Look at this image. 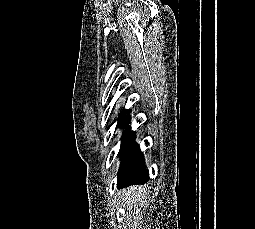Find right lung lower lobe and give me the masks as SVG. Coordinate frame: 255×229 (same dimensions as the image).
<instances>
[{"label": "right lung lower lobe", "mask_w": 255, "mask_h": 229, "mask_svg": "<svg viewBox=\"0 0 255 229\" xmlns=\"http://www.w3.org/2000/svg\"><path fill=\"white\" fill-rule=\"evenodd\" d=\"M148 179L149 174L141 164H132L128 172L118 174L117 185L118 187H122L134 184H144Z\"/></svg>", "instance_id": "right-lung-lower-lobe-1"}]
</instances>
